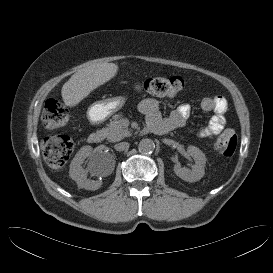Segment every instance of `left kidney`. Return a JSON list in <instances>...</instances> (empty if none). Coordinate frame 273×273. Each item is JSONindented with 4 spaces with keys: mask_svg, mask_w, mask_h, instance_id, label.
I'll return each instance as SVG.
<instances>
[{
    "mask_svg": "<svg viewBox=\"0 0 273 273\" xmlns=\"http://www.w3.org/2000/svg\"><path fill=\"white\" fill-rule=\"evenodd\" d=\"M188 154L194 159L195 164L192 170L181 167L180 164L174 165L175 174L184 181L196 182L199 181L205 174L206 157L205 154L195 146H188Z\"/></svg>",
    "mask_w": 273,
    "mask_h": 273,
    "instance_id": "1",
    "label": "left kidney"
}]
</instances>
